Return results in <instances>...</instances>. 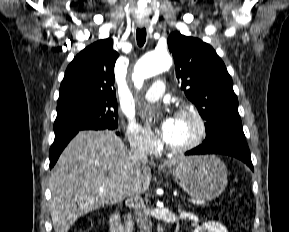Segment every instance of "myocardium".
<instances>
[{"instance_id": "1", "label": "myocardium", "mask_w": 289, "mask_h": 232, "mask_svg": "<svg viewBox=\"0 0 289 232\" xmlns=\"http://www.w3.org/2000/svg\"><path fill=\"white\" fill-rule=\"evenodd\" d=\"M183 115H189L196 121L198 131L194 139L183 146L175 147L168 144L167 146L168 150L176 154L186 153L188 151L195 149L204 141L207 134L206 120L196 108L191 106H184L178 109L175 113V116H183Z\"/></svg>"}]
</instances>
